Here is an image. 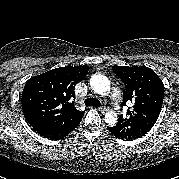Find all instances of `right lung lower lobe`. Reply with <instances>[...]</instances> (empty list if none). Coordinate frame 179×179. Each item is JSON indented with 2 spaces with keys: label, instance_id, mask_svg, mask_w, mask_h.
Returning a JSON list of instances; mask_svg holds the SVG:
<instances>
[{
  "label": "right lung lower lobe",
  "instance_id": "obj_1",
  "mask_svg": "<svg viewBox=\"0 0 179 179\" xmlns=\"http://www.w3.org/2000/svg\"><path fill=\"white\" fill-rule=\"evenodd\" d=\"M71 132V131H70ZM70 132H67L64 136H60V138L59 139H62V138H64L65 136H67Z\"/></svg>",
  "mask_w": 179,
  "mask_h": 179
}]
</instances>
